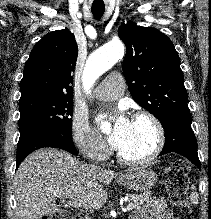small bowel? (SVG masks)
<instances>
[{
	"label": "small bowel",
	"instance_id": "obj_1",
	"mask_svg": "<svg viewBox=\"0 0 211 219\" xmlns=\"http://www.w3.org/2000/svg\"><path fill=\"white\" fill-rule=\"evenodd\" d=\"M131 219H170V214L164 200L154 199L150 205L137 211Z\"/></svg>",
	"mask_w": 211,
	"mask_h": 219
}]
</instances>
